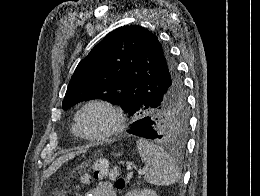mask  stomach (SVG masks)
<instances>
[{"label": "stomach", "instance_id": "obj_1", "mask_svg": "<svg viewBox=\"0 0 260 196\" xmlns=\"http://www.w3.org/2000/svg\"><path fill=\"white\" fill-rule=\"evenodd\" d=\"M115 156H117V158H119V156H122L121 152H119V154H115ZM89 162H83L81 168H84V166H88ZM72 178H74V176H72ZM63 185H68L69 181L68 180H63L62 181ZM58 192H61V187H52V191H49V196H58Z\"/></svg>", "mask_w": 260, "mask_h": 196}]
</instances>
